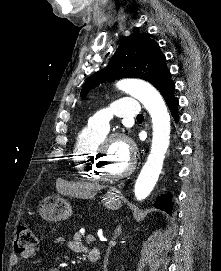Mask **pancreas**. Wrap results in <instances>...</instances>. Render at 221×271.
I'll return each mask as SVG.
<instances>
[{
  "mask_svg": "<svg viewBox=\"0 0 221 271\" xmlns=\"http://www.w3.org/2000/svg\"><path fill=\"white\" fill-rule=\"evenodd\" d=\"M72 241H73V242H82V241H83V238H82V237H73V238H72Z\"/></svg>",
  "mask_w": 221,
  "mask_h": 271,
  "instance_id": "obj_1",
  "label": "pancreas"
}]
</instances>
